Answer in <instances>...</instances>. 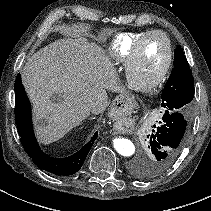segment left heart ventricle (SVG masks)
<instances>
[{
	"label": "left heart ventricle",
	"instance_id": "1",
	"mask_svg": "<svg viewBox=\"0 0 211 211\" xmlns=\"http://www.w3.org/2000/svg\"><path fill=\"white\" fill-rule=\"evenodd\" d=\"M167 57V45L160 35H152L144 42L135 69V79L139 83L150 82L159 72Z\"/></svg>",
	"mask_w": 211,
	"mask_h": 211
}]
</instances>
